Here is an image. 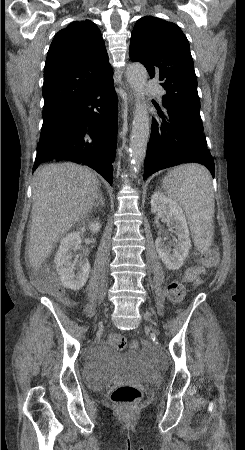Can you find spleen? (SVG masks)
<instances>
[{"label": "spleen", "mask_w": 245, "mask_h": 450, "mask_svg": "<svg viewBox=\"0 0 245 450\" xmlns=\"http://www.w3.org/2000/svg\"><path fill=\"white\" fill-rule=\"evenodd\" d=\"M163 188L186 213L198 251L206 252L214 234L215 200L210 172L196 163L181 165L166 175Z\"/></svg>", "instance_id": "1"}]
</instances>
